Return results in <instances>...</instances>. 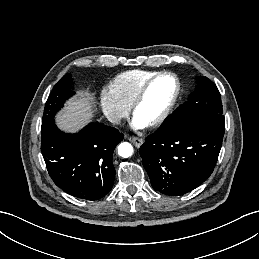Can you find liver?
Returning a JSON list of instances; mask_svg holds the SVG:
<instances>
[{
	"label": "liver",
	"instance_id": "liver-1",
	"mask_svg": "<svg viewBox=\"0 0 259 259\" xmlns=\"http://www.w3.org/2000/svg\"><path fill=\"white\" fill-rule=\"evenodd\" d=\"M94 113V99L87 91L78 92V97L71 99L57 116L59 128L75 132L90 121Z\"/></svg>",
	"mask_w": 259,
	"mask_h": 259
}]
</instances>
